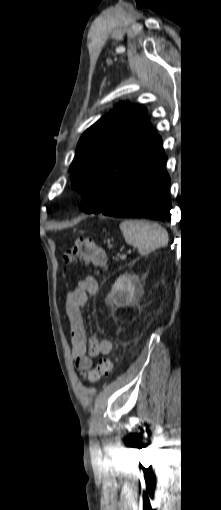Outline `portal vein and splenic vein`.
Listing matches in <instances>:
<instances>
[{
    "label": "portal vein and splenic vein",
    "instance_id": "portal-vein-and-splenic-vein-1",
    "mask_svg": "<svg viewBox=\"0 0 221 510\" xmlns=\"http://www.w3.org/2000/svg\"><path fill=\"white\" fill-rule=\"evenodd\" d=\"M126 256L125 255H121L120 256V259H124Z\"/></svg>",
    "mask_w": 221,
    "mask_h": 510
}]
</instances>
